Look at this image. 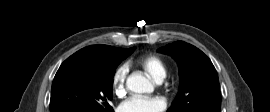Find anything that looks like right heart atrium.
Masks as SVG:
<instances>
[{"label":"right heart atrium","mask_w":270,"mask_h":112,"mask_svg":"<svg viewBox=\"0 0 270 112\" xmlns=\"http://www.w3.org/2000/svg\"><path fill=\"white\" fill-rule=\"evenodd\" d=\"M128 74L127 64H122L116 68L112 76V87L116 95H122L125 91V81Z\"/></svg>","instance_id":"obj_1"}]
</instances>
